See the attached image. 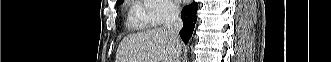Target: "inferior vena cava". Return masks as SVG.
Segmentation results:
<instances>
[{"instance_id":"obj_1","label":"inferior vena cava","mask_w":331,"mask_h":62,"mask_svg":"<svg viewBox=\"0 0 331 62\" xmlns=\"http://www.w3.org/2000/svg\"><path fill=\"white\" fill-rule=\"evenodd\" d=\"M183 27L180 10L176 5H170L165 17L164 28L170 34L175 43L180 42L179 32ZM179 62V60H178Z\"/></svg>"}]
</instances>
